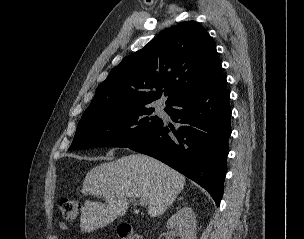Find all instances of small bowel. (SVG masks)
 Returning a JSON list of instances; mask_svg holds the SVG:
<instances>
[{"label":"small bowel","mask_w":304,"mask_h":239,"mask_svg":"<svg viewBox=\"0 0 304 239\" xmlns=\"http://www.w3.org/2000/svg\"><path fill=\"white\" fill-rule=\"evenodd\" d=\"M58 228H59L60 231L64 232V231L67 230V225L64 222H59L58 223ZM52 239H61V238L58 235H54L52 237Z\"/></svg>","instance_id":"small-bowel-1"}]
</instances>
